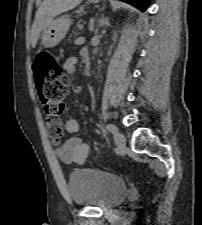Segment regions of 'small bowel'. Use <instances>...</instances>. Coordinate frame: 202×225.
Returning <instances> with one entry per match:
<instances>
[{
    "label": "small bowel",
    "instance_id": "c3829d8e",
    "mask_svg": "<svg viewBox=\"0 0 202 225\" xmlns=\"http://www.w3.org/2000/svg\"><path fill=\"white\" fill-rule=\"evenodd\" d=\"M88 52L86 49L81 51ZM82 56V55H81ZM79 64L77 56H70L64 62V68L73 73ZM64 128L67 133L76 135L80 130L79 121L76 118H67L64 121ZM57 155L60 161L66 165L84 164L88 157V145L79 136H72L65 140L64 145L59 148Z\"/></svg>",
    "mask_w": 202,
    "mask_h": 225
}]
</instances>
